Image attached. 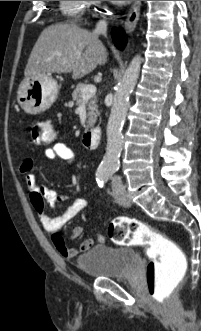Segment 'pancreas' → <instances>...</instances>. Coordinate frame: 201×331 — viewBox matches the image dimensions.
<instances>
[{
	"instance_id": "obj_1",
	"label": "pancreas",
	"mask_w": 201,
	"mask_h": 331,
	"mask_svg": "<svg viewBox=\"0 0 201 331\" xmlns=\"http://www.w3.org/2000/svg\"><path fill=\"white\" fill-rule=\"evenodd\" d=\"M85 86L86 84L79 83L75 86L73 90L72 97L77 104H81L83 101L82 90ZM87 110H88L87 113L88 121H87V125L85 126L86 129L94 125L97 119V115L99 113L97 107V98L94 95L88 101Z\"/></svg>"
}]
</instances>
